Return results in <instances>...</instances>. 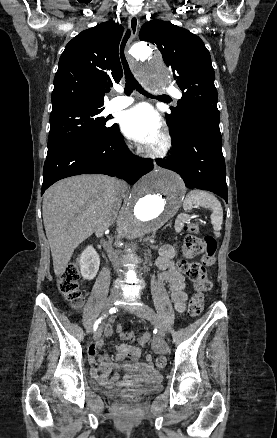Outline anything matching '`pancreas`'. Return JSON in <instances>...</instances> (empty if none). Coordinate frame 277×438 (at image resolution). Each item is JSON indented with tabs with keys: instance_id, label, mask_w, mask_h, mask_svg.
I'll use <instances>...</instances> for the list:
<instances>
[{
	"instance_id": "pancreas-1",
	"label": "pancreas",
	"mask_w": 277,
	"mask_h": 438,
	"mask_svg": "<svg viewBox=\"0 0 277 438\" xmlns=\"http://www.w3.org/2000/svg\"><path fill=\"white\" fill-rule=\"evenodd\" d=\"M188 221L187 214H178L177 218L174 220L172 226L173 233H182L185 223Z\"/></svg>"
}]
</instances>
